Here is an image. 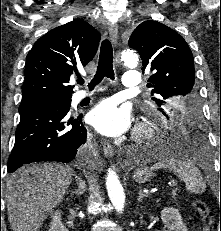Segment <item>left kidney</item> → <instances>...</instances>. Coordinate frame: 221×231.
<instances>
[{
	"mask_svg": "<svg viewBox=\"0 0 221 231\" xmlns=\"http://www.w3.org/2000/svg\"><path fill=\"white\" fill-rule=\"evenodd\" d=\"M161 219L169 231H188L179 211L173 207L164 208L161 211Z\"/></svg>",
	"mask_w": 221,
	"mask_h": 231,
	"instance_id": "1",
	"label": "left kidney"
}]
</instances>
